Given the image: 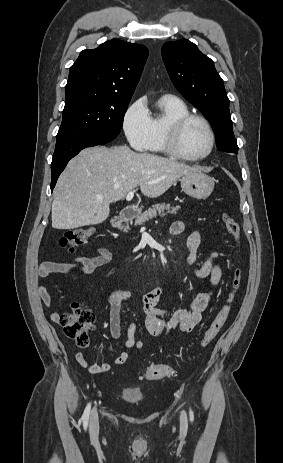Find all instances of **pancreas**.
Segmentation results:
<instances>
[{
  "mask_svg": "<svg viewBox=\"0 0 283 463\" xmlns=\"http://www.w3.org/2000/svg\"><path fill=\"white\" fill-rule=\"evenodd\" d=\"M179 209H180L179 206L172 207L170 204H165V203L153 205L152 208H149L148 210H146L145 212L137 216V218L135 219L134 225L135 226L143 225L144 223L153 219L157 215L177 214V211ZM120 229L127 233L130 228H129V225H126V226H122Z\"/></svg>",
  "mask_w": 283,
  "mask_h": 463,
  "instance_id": "cf45deb5",
  "label": "pancreas"
}]
</instances>
